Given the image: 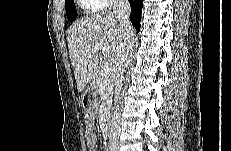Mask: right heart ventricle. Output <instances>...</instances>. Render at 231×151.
<instances>
[{"instance_id": "obj_1", "label": "right heart ventricle", "mask_w": 231, "mask_h": 151, "mask_svg": "<svg viewBox=\"0 0 231 151\" xmlns=\"http://www.w3.org/2000/svg\"><path fill=\"white\" fill-rule=\"evenodd\" d=\"M86 8L93 10V11L98 10V9H96L95 5L91 4V3H86Z\"/></svg>"}]
</instances>
